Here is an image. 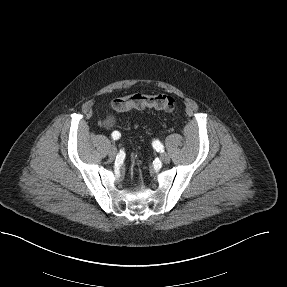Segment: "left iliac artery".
I'll return each mask as SVG.
<instances>
[{
	"mask_svg": "<svg viewBox=\"0 0 287 287\" xmlns=\"http://www.w3.org/2000/svg\"><path fill=\"white\" fill-rule=\"evenodd\" d=\"M153 147L156 149L158 152H163L164 151V146L160 141L155 140L153 141Z\"/></svg>",
	"mask_w": 287,
	"mask_h": 287,
	"instance_id": "1",
	"label": "left iliac artery"
}]
</instances>
